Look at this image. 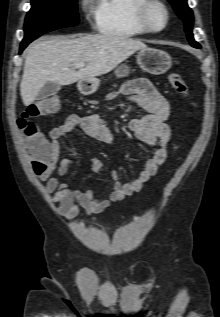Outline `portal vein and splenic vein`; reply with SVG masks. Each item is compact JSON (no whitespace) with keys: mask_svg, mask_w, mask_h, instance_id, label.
<instances>
[{"mask_svg":"<svg viewBox=\"0 0 220 317\" xmlns=\"http://www.w3.org/2000/svg\"><path fill=\"white\" fill-rule=\"evenodd\" d=\"M85 66H86L85 63H77V64L75 65V68H82V67H85Z\"/></svg>","mask_w":220,"mask_h":317,"instance_id":"1","label":"portal vein and splenic vein"}]
</instances>
